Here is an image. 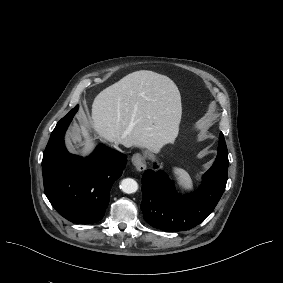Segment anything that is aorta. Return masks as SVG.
I'll use <instances>...</instances> for the list:
<instances>
[{
    "label": "aorta",
    "instance_id": "762f6f07",
    "mask_svg": "<svg viewBox=\"0 0 283 283\" xmlns=\"http://www.w3.org/2000/svg\"><path fill=\"white\" fill-rule=\"evenodd\" d=\"M120 188L124 193H135L138 190V183L132 178H126L121 181Z\"/></svg>",
    "mask_w": 283,
    "mask_h": 283
}]
</instances>
